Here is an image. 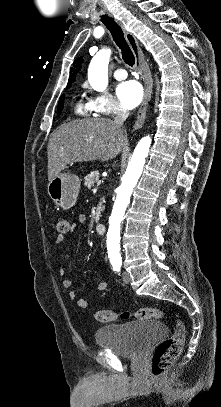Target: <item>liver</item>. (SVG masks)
Returning a JSON list of instances; mask_svg holds the SVG:
<instances>
[{
  "label": "liver",
  "mask_w": 221,
  "mask_h": 407,
  "mask_svg": "<svg viewBox=\"0 0 221 407\" xmlns=\"http://www.w3.org/2000/svg\"><path fill=\"white\" fill-rule=\"evenodd\" d=\"M127 144L126 132L110 119H78L65 123L52 133L48 142V181L68 164L111 160Z\"/></svg>",
  "instance_id": "6515ba94"
}]
</instances>
